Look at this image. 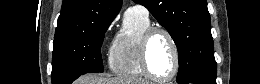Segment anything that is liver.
Here are the masks:
<instances>
[{
  "label": "liver",
  "mask_w": 260,
  "mask_h": 84,
  "mask_svg": "<svg viewBox=\"0 0 260 84\" xmlns=\"http://www.w3.org/2000/svg\"><path fill=\"white\" fill-rule=\"evenodd\" d=\"M77 84H151L149 81L138 78H104L93 74L80 77Z\"/></svg>",
  "instance_id": "6515ba94"
}]
</instances>
